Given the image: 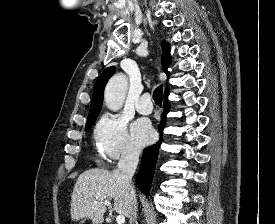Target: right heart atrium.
I'll use <instances>...</instances> for the list:
<instances>
[{
    "mask_svg": "<svg viewBox=\"0 0 275 224\" xmlns=\"http://www.w3.org/2000/svg\"><path fill=\"white\" fill-rule=\"evenodd\" d=\"M93 138L98 153L109 163L139 156V149L130 139L127 120L120 115L104 114L95 126Z\"/></svg>",
    "mask_w": 275,
    "mask_h": 224,
    "instance_id": "right-heart-atrium-1",
    "label": "right heart atrium"
}]
</instances>
